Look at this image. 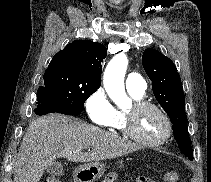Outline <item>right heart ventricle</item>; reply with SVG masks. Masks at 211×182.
Instances as JSON below:
<instances>
[{
  "label": "right heart ventricle",
  "mask_w": 211,
  "mask_h": 182,
  "mask_svg": "<svg viewBox=\"0 0 211 182\" xmlns=\"http://www.w3.org/2000/svg\"><path fill=\"white\" fill-rule=\"evenodd\" d=\"M130 96L135 100H140L142 96L129 92ZM110 130L125 134V118L124 113L115 109L112 121L107 125Z\"/></svg>",
  "instance_id": "e07e8e85"
}]
</instances>
